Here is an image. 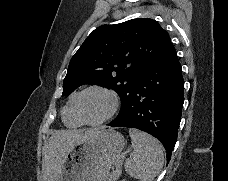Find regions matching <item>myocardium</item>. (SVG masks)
I'll return each mask as SVG.
<instances>
[{
  "instance_id": "f54148a6",
  "label": "myocardium",
  "mask_w": 228,
  "mask_h": 181,
  "mask_svg": "<svg viewBox=\"0 0 228 181\" xmlns=\"http://www.w3.org/2000/svg\"><path fill=\"white\" fill-rule=\"evenodd\" d=\"M88 92L102 93L108 99V105H107L106 109L104 110V112L102 113V115L100 117H98L97 119L91 120V121L84 120L81 117L80 112H79V106H78L80 98ZM119 103H120L119 97H118L117 93L114 92L113 90H111L107 87H103V86H92V87H89V88L83 90L81 93H79L77 95V97L74 99V110L81 122L88 124V125H97V124L104 122L108 118H110L118 109Z\"/></svg>"
}]
</instances>
